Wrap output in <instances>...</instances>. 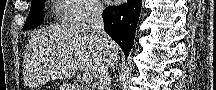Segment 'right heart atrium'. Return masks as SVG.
<instances>
[{"label":"right heart atrium","mask_w":216,"mask_h":90,"mask_svg":"<svg viewBox=\"0 0 216 90\" xmlns=\"http://www.w3.org/2000/svg\"><path fill=\"white\" fill-rule=\"evenodd\" d=\"M66 6H77L71 8L74 13L69 14V20H88L98 13V2L95 0H62Z\"/></svg>","instance_id":"d8ad5b80"}]
</instances>
